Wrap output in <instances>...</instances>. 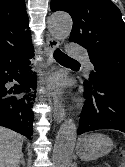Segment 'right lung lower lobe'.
<instances>
[{"mask_svg":"<svg viewBox=\"0 0 125 167\" xmlns=\"http://www.w3.org/2000/svg\"><path fill=\"white\" fill-rule=\"evenodd\" d=\"M33 56L31 41L11 46L0 53V125L28 139H31L33 132V99L23 93L36 86V77L29 67V59ZM12 81H17L18 84L11 88L5 86L7 82Z\"/></svg>","mask_w":125,"mask_h":167,"instance_id":"98d812e1","label":"right lung lower lobe"}]
</instances>
